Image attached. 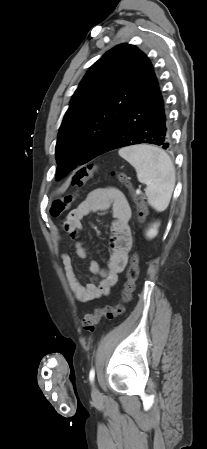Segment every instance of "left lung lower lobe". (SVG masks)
Returning a JSON list of instances; mask_svg holds the SVG:
<instances>
[{
	"label": "left lung lower lobe",
	"mask_w": 207,
	"mask_h": 449,
	"mask_svg": "<svg viewBox=\"0 0 207 449\" xmlns=\"http://www.w3.org/2000/svg\"><path fill=\"white\" fill-rule=\"evenodd\" d=\"M141 143L171 147V131L165 100L154 74L149 86L112 131L96 156Z\"/></svg>",
	"instance_id": "left-lung-lower-lobe-1"
}]
</instances>
